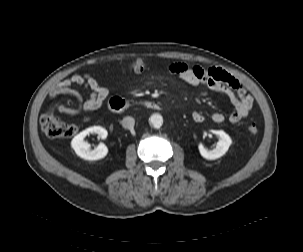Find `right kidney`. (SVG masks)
I'll use <instances>...</instances> for the list:
<instances>
[{"label": "right kidney", "mask_w": 303, "mask_h": 252, "mask_svg": "<svg viewBox=\"0 0 303 252\" xmlns=\"http://www.w3.org/2000/svg\"><path fill=\"white\" fill-rule=\"evenodd\" d=\"M93 133L98 134V136L102 139H105L108 135L105 128L101 126H93L80 132L71 141V146L76 154L85 160H100L103 159L108 153V148L103 143H100L96 149L90 150V145L84 141V138Z\"/></svg>", "instance_id": "right-kidney-1"}]
</instances>
